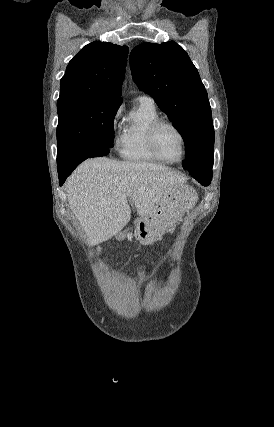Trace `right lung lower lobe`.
<instances>
[{"label": "right lung lower lobe", "mask_w": 274, "mask_h": 427, "mask_svg": "<svg viewBox=\"0 0 274 427\" xmlns=\"http://www.w3.org/2000/svg\"><path fill=\"white\" fill-rule=\"evenodd\" d=\"M109 149H105V150H99V151H95L93 153H91L90 155L80 159L79 161L70 164V165H66V166H61L58 167V175H59V184L60 186L63 185V183L65 182L66 178L72 173V171L85 159L87 158H92V157H100V156H105L109 153Z\"/></svg>", "instance_id": "right-lung-lower-lobe-1"}]
</instances>
